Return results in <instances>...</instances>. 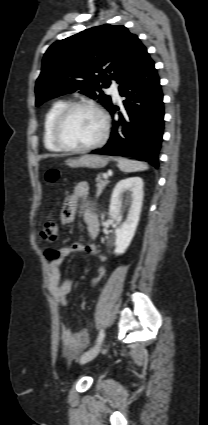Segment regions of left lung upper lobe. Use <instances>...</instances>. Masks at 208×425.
Wrapping results in <instances>:
<instances>
[{
    "mask_svg": "<svg viewBox=\"0 0 208 425\" xmlns=\"http://www.w3.org/2000/svg\"><path fill=\"white\" fill-rule=\"evenodd\" d=\"M146 47L122 25L105 24L56 41L46 51L36 81V106L63 94L80 93L98 99L107 109L111 97L101 88L121 83L140 65Z\"/></svg>",
    "mask_w": 208,
    "mask_h": 425,
    "instance_id": "1",
    "label": "left lung upper lobe"
}]
</instances>
